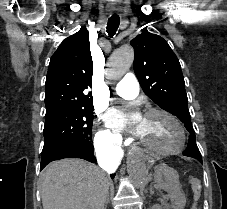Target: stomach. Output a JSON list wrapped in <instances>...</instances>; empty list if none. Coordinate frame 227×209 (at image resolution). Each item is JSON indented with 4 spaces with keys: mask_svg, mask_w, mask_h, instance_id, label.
I'll list each match as a JSON object with an SVG mask.
<instances>
[{
    "mask_svg": "<svg viewBox=\"0 0 227 209\" xmlns=\"http://www.w3.org/2000/svg\"><path fill=\"white\" fill-rule=\"evenodd\" d=\"M154 180L156 185L169 193L171 206L174 209H183L186 204L185 194L180 189L178 172L167 166L160 164L155 167Z\"/></svg>",
    "mask_w": 227,
    "mask_h": 209,
    "instance_id": "1",
    "label": "stomach"
}]
</instances>
